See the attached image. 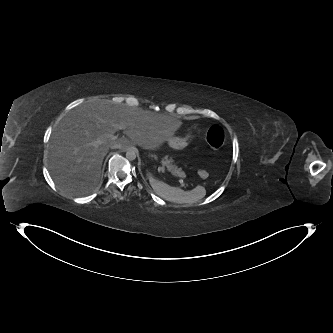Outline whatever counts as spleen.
<instances>
[{
    "label": "spleen",
    "mask_w": 333,
    "mask_h": 333,
    "mask_svg": "<svg viewBox=\"0 0 333 333\" xmlns=\"http://www.w3.org/2000/svg\"><path fill=\"white\" fill-rule=\"evenodd\" d=\"M149 182L157 195L169 201L194 203L204 198L206 195V190L203 186H197L190 191H183L182 189L171 187L163 181L157 180L153 174H149Z\"/></svg>",
    "instance_id": "1"
}]
</instances>
